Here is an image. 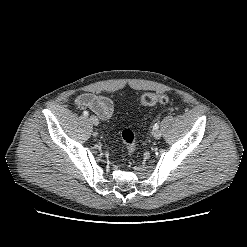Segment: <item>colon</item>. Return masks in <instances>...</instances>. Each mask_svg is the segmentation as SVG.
Masks as SVG:
<instances>
[{
	"label": "colon",
	"mask_w": 247,
	"mask_h": 247,
	"mask_svg": "<svg viewBox=\"0 0 247 247\" xmlns=\"http://www.w3.org/2000/svg\"><path fill=\"white\" fill-rule=\"evenodd\" d=\"M171 101L170 97L163 93L147 92L141 96L140 102L144 106H153L156 104H167ZM121 138L128 150V154L132 157L135 153V136L130 129H125L121 133Z\"/></svg>",
	"instance_id": "colon-1"
}]
</instances>
